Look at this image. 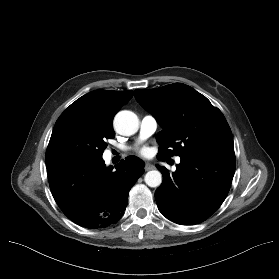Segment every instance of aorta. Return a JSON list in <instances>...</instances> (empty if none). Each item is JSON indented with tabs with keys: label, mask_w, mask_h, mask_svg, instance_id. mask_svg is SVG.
Segmentation results:
<instances>
[{
	"label": "aorta",
	"mask_w": 279,
	"mask_h": 279,
	"mask_svg": "<svg viewBox=\"0 0 279 279\" xmlns=\"http://www.w3.org/2000/svg\"><path fill=\"white\" fill-rule=\"evenodd\" d=\"M114 128L120 135L131 136L138 131L139 119L131 111H120L114 118ZM145 183L149 187H158L162 183V175L158 170H152L146 173Z\"/></svg>",
	"instance_id": "1"
}]
</instances>
